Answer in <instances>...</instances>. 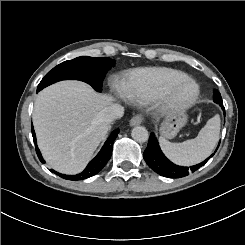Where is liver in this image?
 <instances>
[{
    "instance_id": "6515ba94",
    "label": "liver",
    "mask_w": 245,
    "mask_h": 245,
    "mask_svg": "<svg viewBox=\"0 0 245 245\" xmlns=\"http://www.w3.org/2000/svg\"><path fill=\"white\" fill-rule=\"evenodd\" d=\"M111 95L96 93L81 81H61L40 91L32 114L38 147L56 171L84 170L109 130L98 114L111 105Z\"/></svg>"
}]
</instances>
